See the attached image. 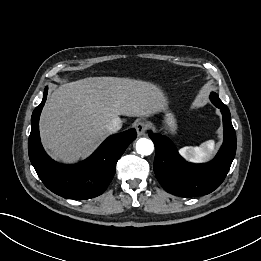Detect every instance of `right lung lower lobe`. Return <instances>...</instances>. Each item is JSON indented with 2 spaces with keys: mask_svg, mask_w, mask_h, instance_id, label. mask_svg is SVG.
<instances>
[{
  "mask_svg": "<svg viewBox=\"0 0 261 261\" xmlns=\"http://www.w3.org/2000/svg\"><path fill=\"white\" fill-rule=\"evenodd\" d=\"M44 97L31 117V133L28 140L30 161L44 185L53 193L75 200L90 199L102 194L111 182L116 163L129 144L136 139V130L112 135L86 160L63 165L53 161L44 151L39 136V117L47 98Z\"/></svg>",
  "mask_w": 261,
  "mask_h": 261,
  "instance_id": "1",
  "label": "right lung lower lobe"
}]
</instances>
